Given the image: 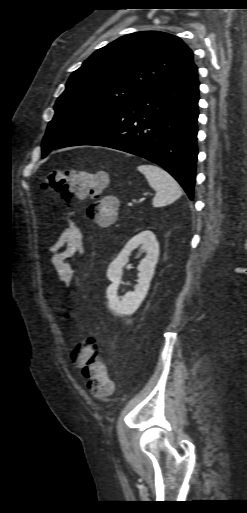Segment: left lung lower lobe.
Returning <instances> with one entry per match:
<instances>
[{"mask_svg": "<svg viewBox=\"0 0 247 513\" xmlns=\"http://www.w3.org/2000/svg\"><path fill=\"white\" fill-rule=\"evenodd\" d=\"M199 82L192 61L180 73L56 148L96 145L148 159L194 195Z\"/></svg>", "mask_w": 247, "mask_h": 513, "instance_id": "obj_1", "label": "left lung lower lobe"}]
</instances>
